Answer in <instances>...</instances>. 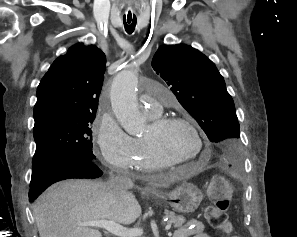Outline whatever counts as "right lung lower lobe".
<instances>
[{"instance_id": "1", "label": "right lung lower lobe", "mask_w": 297, "mask_h": 237, "mask_svg": "<svg viewBox=\"0 0 297 237\" xmlns=\"http://www.w3.org/2000/svg\"><path fill=\"white\" fill-rule=\"evenodd\" d=\"M102 174L91 158L78 154L52 156L32 170L29 200L34 201L55 182L66 179H95Z\"/></svg>"}]
</instances>
